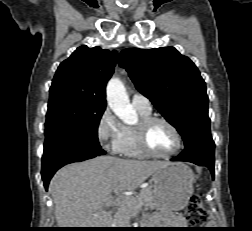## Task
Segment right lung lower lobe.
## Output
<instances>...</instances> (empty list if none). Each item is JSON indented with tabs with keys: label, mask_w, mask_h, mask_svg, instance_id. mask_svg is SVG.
<instances>
[{
	"label": "right lung lower lobe",
	"mask_w": 252,
	"mask_h": 231,
	"mask_svg": "<svg viewBox=\"0 0 252 231\" xmlns=\"http://www.w3.org/2000/svg\"><path fill=\"white\" fill-rule=\"evenodd\" d=\"M106 152L100 147L81 144H65L57 146L43 153L42 157V179L45 189L54 173L62 166L104 155Z\"/></svg>",
	"instance_id": "98d812e1"
}]
</instances>
